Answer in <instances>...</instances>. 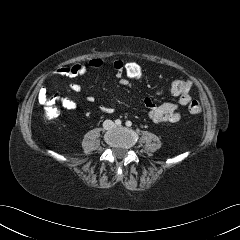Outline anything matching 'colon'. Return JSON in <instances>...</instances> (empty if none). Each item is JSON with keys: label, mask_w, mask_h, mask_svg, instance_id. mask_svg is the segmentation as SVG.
<instances>
[{"label": "colon", "mask_w": 240, "mask_h": 240, "mask_svg": "<svg viewBox=\"0 0 240 240\" xmlns=\"http://www.w3.org/2000/svg\"><path fill=\"white\" fill-rule=\"evenodd\" d=\"M123 75L130 81L140 80L144 76V66L135 59L125 61L122 67ZM192 87V83L186 79H177L171 84V92L174 96L187 94ZM188 110L191 114H199L202 111L201 104L196 100L188 103ZM46 115L48 118H55L58 112L55 108H48Z\"/></svg>", "instance_id": "5ec220e1"}]
</instances>
